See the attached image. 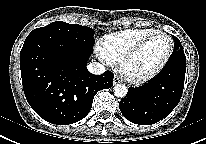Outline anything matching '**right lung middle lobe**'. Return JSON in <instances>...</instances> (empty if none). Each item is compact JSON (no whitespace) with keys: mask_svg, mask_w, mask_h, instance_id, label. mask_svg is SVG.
<instances>
[{"mask_svg":"<svg viewBox=\"0 0 206 144\" xmlns=\"http://www.w3.org/2000/svg\"><path fill=\"white\" fill-rule=\"evenodd\" d=\"M94 30L87 26L68 24L62 21L53 22L45 27L34 29L25 42L37 39H47L92 50L94 45Z\"/></svg>","mask_w":206,"mask_h":144,"instance_id":"dd1d6c3e","label":"right lung middle lobe"}]
</instances>
